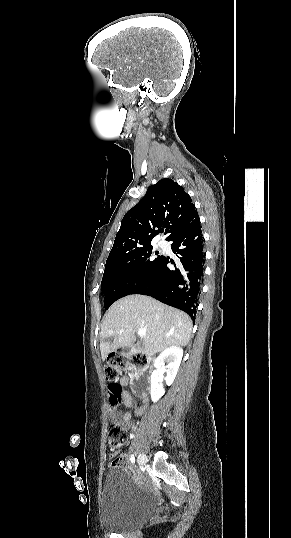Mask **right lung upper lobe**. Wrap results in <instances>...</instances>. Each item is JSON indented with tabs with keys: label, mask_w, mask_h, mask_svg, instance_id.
<instances>
[{
	"label": "right lung upper lobe",
	"mask_w": 291,
	"mask_h": 538,
	"mask_svg": "<svg viewBox=\"0 0 291 538\" xmlns=\"http://www.w3.org/2000/svg\"><path fill=\"white\" fill-rule=\"evenodd\" d=\"M198 222L196 207L183 187L172 179H162L125 214L108 259L151 246L162 228H166L168 241Z\"/></svg>",
	"instance_id": "cb5924a9"
}]
</instances>
